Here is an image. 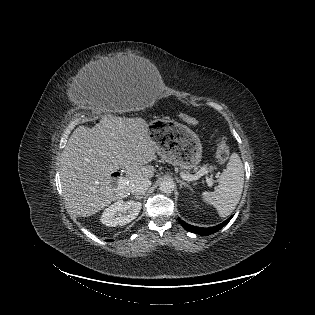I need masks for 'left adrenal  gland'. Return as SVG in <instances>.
<instances>
[{
    "mask_svg": "<svg viewBox=\"0 0 315 315\" xmlns=\"http://www.w3.org/2000/svg\"><path fill=\"white\" fill-rule=\"evenodd\" d=\"M178 183H180V187L182 188V186H186L188 187L190 190H192V188L190 187L189 184H187L186 182H183L182 180L180 179H176Z\"/></svg>",
    "mask_w": 315,
    "mask_h": 315,
    "instance_id": "obj_1",
    "label": "left adrenal gland"
}]
</instances>
